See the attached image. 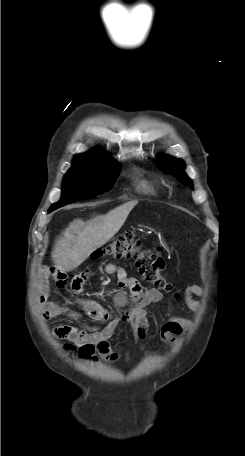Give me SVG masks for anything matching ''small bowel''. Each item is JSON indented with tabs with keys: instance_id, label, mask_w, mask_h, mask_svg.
Masks as SVG:
<instances>
[{
	"instance_id": "obj_1",
	"label": "small bowel",
	"mask_w": 245,
	"mask_h": 456,
	"mask_svg": "<svg viewBox=\"0 0 245 456\" xmlns=\"http://www.w3.org/2000/svg\"><path fill=\"white\" fill-rule=\"evenodd\" d=\"M103 270L108 275H116L118 277V285L121 292L115 296L116 309H107L93 300H80L79 305L91 319L106 322V325L101 328L90 326L77 328L70 325H61L54 328L53 334L59 339L69 340L78 346L79 355L86 360H95V354L99 353L103 358L115 361L118 358V354L111 349L109 339L118 325L121 323L128 324L136 341L144 340L149 328L146 307L150 303L161 301L163 294L159 290L143 287L136 278L128 276L122 267L114 263L105 264ZM52 277L58 288L66 286L67 276L63 271L53 269ZM89 277L90 271L88 270H84L74 276L71 281L72 290L75 292L80 291ZM126 291L129 292V297L126 296ZM50 293L51 287L46 277L41 281L38 295L41 313L45 320L60 315H67L73 318L78 316V314L71 312L59 303L50 301ZM203 295L204 290L201 286L189 285L184 290L186 306L193 312H199L201 306L194 297H202ZM187 326L188 322L185 319L172 316L161 326V337L165 342L174 344L178 337L186 331Z\"/></svg>"
}]
</instances>
